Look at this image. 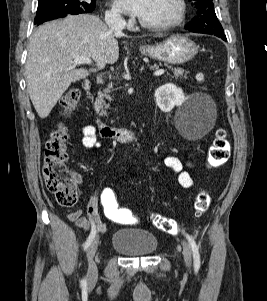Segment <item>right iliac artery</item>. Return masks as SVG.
Instances as JSON below:
<instances>
[{"mask_svg":"<svg viewBox=\"0 0 267 301\" xmlns=\"http://www.w3.org/2000/svg\"><path fill=\"white\" fill-rule=\"evenodd\" d=\"M95 235H96V228H95V225L93 224L91 233L89 234V236H88V238H87V240L85 241V244H84V249L85 250L89 247V245L93 241ZM82 283L85 284L86 280L83 279Z\"/></svg>","mask_w":267,"mask_h":301,"instance_id":"1","label":"right iliac artery"}]
</instances>
